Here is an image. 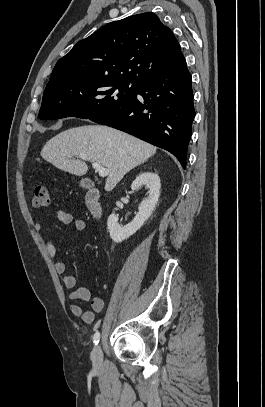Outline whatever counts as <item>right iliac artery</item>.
Masks as SVG:
<instances>
[{"label":"right iliac artery","mask_w":265,"mask_h":407,"mask_svg":"<svg viewBox=\"0 0 265 407\" xmlns=\"http://www.w3.org/2000/svg\"><path fill=\"white\" fill-rule=\"evenodd\" d=\"M99 340H100V333L97 331L93 336V343L95 345H97L99 343Z\"/></svg>","instance_id":"right-iliac-artery-1"}]
</instances>
